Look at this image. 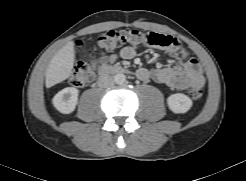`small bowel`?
Returning <instances> with one entry per match:
<instances>
[{
	"label": "small bowel",
	"instance_id": "small-bowel-1",
	"mask_svg": "<svg viewBox=\"0 0 246 181\" xmlns=\"http://www.w3.org/2000/svg\"><path fill=\"white\" fill-rule=\"evenodd\" d=\"M167 53L177 62L175 66H168L158 69L140 68L136 75L141 80L152 79L157 83L167 85L174 89H186L189 86L202 87L205 84L202 67L200 63L189 55L187 50L179 43L176 47L165 48ZM123 59H132L135 50L131 46H125L120 50ZM117 56H101L98 62L107 65L113 63Z\"/></svg>",
	"mask_w": 246,
	"mask_h": 181
}]
</instances>
